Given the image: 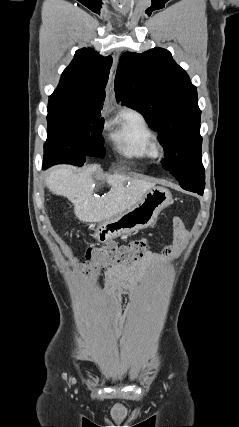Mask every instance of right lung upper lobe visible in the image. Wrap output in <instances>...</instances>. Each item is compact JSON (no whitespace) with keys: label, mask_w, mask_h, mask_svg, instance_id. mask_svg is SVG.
Instances as JSON below:
<instances>
[{"label":"right lung upper lobe","mask_w":239,"mask_h":427,"mask_svg":"<svg viewBox=\"0 0 239 427\" xmlns=\"http://www.w3.org/2000/svg\"><path fill=\"white\" fill-rule=\"evenodd\" d=\"M111 65V56L102 57L91 48L78 50L49 97V105L101 111Z\"/></svg>","instance_id":"cb5924a9"}]
</instances>
